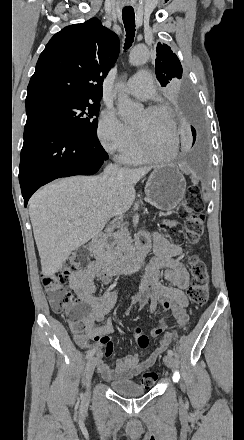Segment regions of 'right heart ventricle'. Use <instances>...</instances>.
Segmentation results:
<instances>
[{"label":"right heart ventricle","mask_w":244,"mask_h":440,"mask_svg":"<svg viewBox=\"0 0 244 440\" xmlns=\"http://www.w3.org/2000/svg\"><path fill=\"white\" fill-rule=\"evenodd\" d=\"M138 137L140 138L139 135ZM139 144L137 143L135 148L130 151L122 152L119 160L129 165L149 164L151 162V154L146 151V146L141 147Z\"/></svg>","instance_id":"1"}]
</instances>
